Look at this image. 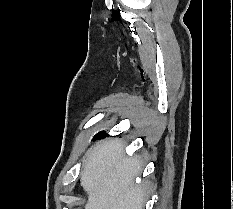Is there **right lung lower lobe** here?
Returning a JSON list of instances; mask_svg holds the SVG:
<instances>
[{"mask_svg": "<svg viewBox=\"0 0 233 209\" xmlns=\"http://www.w3.org/2000/svg\"><path fill=\"white\" fill-rule=\"evenodd\" d=\"M106 136L107 135L104 132H100L94 137V140L101 139V138H104Z\"/></svg>", "mask_w": 233, "mask_h": 209, "instance_id": "98d812e1", "label": "right lung lower lobe"}]
</instances>
